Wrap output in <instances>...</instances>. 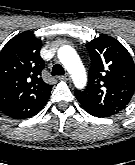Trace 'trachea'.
Masks as SVG:
<instances>
[{
    "mask_svg": "<svg viewBox=\"0 0 135 165\" xmlns=\"http://www.w3.org/2000/svg\"><path fill=\"white\" fill-rule=\"evenodd\" d=\"M64 68L60 64H55L52 68V76L64 75Z\"/></svg>",
    "mask_w": 135,
    "mask_h": 165,
    "instance_id": "1",
    "label": "trachea"
}]
</instances>
